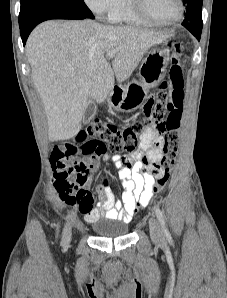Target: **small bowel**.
<instances>
[{
    "label": "small bowel",
    "mask_w": 227,
    "mask_h": 298,
    "mask_svg": "<svg viewBox=\"0 0 227 298\" xmlns=\"http://www.w3.org/2000/svg\"><path fill=\"white\" fill-rule=\"evenodd\" d=\"M157 87H161V92H167L168 82H157ZM146 103H157V98H146ZM156 111L154 104H141L142 115H151ZM165 130L166 125L149 127L142 134L137 151L126 156H111L123 188L120 199L115 197L110 188L105 187L99 191V202L93 206V177L89 172L98 169L97 158L109 157L107 147H110V142H63L62 146H55L50 153L55 170V187L59 191L77 185L80 197L71 205L79 209L87 223L102 218L131 221L138 210L149 203L153 196L149 191L150 185L163 172L159 161ZM79 177L83 181L77 184Z\"/></svg>",
    "instance_id": "small-bowel-1"
}]
</instances>
